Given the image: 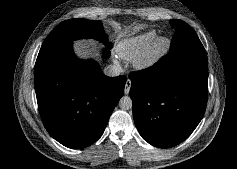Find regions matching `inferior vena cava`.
Here are the masks:
<instances>
[{
  "label": "inferior vena cava",
  "mask_w": 237,
  "mask_h": 169,
  "mask_svg": "<svg viewBox=\"0 0 237 169\" xmlns=\"http://www.w3.org/2000/svg\"><path fill=\"white\" fill-rule=\"evenodd\" d=\"M103 72L108 77H116L120 75V70L114 65H106L103 69Z\"/></svg>",
  "instance_id": "obj_1"
}]
</instances>
